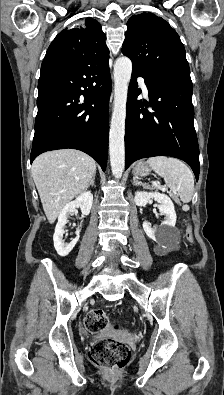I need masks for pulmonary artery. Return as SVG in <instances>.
Wrapping results in <instances>:
<instances>
[{
	"label": "pulmonary artery",
	"mask_w": 224,
	"mask_h": 395,
	"mask_svg": "<svg viewBox=\"0 0 224 395\" xmlns=\"http://www.w3.org/2000/svg\"><path fill=\"white\" fill-rule=\"evenodd\" d=\"M139 83H140V86H141L143 92L145 94H148V89H147V86H146L143 78H141V77L139 78Z\"/></svg>",
	"instance_id": "1"
}]
</instances>
